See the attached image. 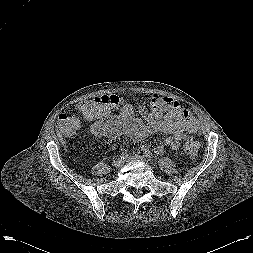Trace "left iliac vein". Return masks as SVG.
<instances>
[{"label":"left iliac vein","mask_w":253,"mask_h":253,"mask_svg":"<svg viewBox=\"0 0 253 253\" xmlns=\"http://www.w3.org/2000/svg\"><path fill=\"white\" fill-rule=\"evenodd\" d=\"M133 160L144 161V162L147 161L146 158H144L143 156H140V155H132V156L128 157V159H127V161H133Z\"/></svg>","instance_id":"4c4485c4"}]
</instances>
